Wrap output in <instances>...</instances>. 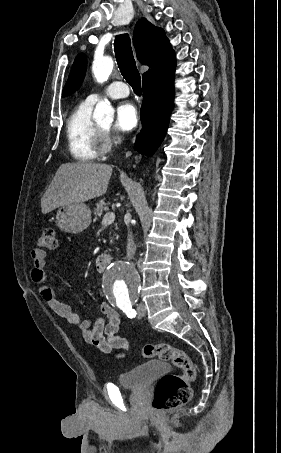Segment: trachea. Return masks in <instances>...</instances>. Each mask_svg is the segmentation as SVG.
I'll return each instance as SVG.
<instances>
[{"label": "trachea", "instance_id": "3493384b", "mask_svg": "<svg viewBox=\"0 0 281 453\" xmlns=\"http://www.w3.org/2000/svg\"><path fill=\"white\" fill-rule=\"evenodd\" d=\"M114 51L121 74L131 85L134 93L141 95V77L136 67L130 37L127 33L116 36Z\"/></svg>", "mask_w": 281, "mask_h": 453}]
</instances>
